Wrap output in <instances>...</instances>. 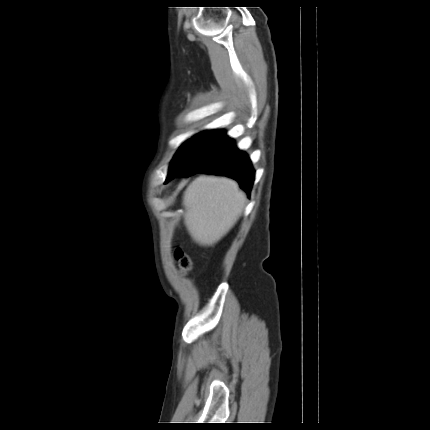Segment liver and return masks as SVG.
<instances>
[{
  "instance_id": "liver-1",
  "label": "liver",
  "mask_w": 430,
  "mask_h": 430,
  "mask_svg": "<svg viewBox=\"0 0 430 430\" xmlns=\"http://www.w3.org/2000/svg\"><path fill=\"white\" fill-rule=\"evenodd\" d=\"M245 199L234 180L199 176L184 195L188 208L185 222L191 236L202 245L217 242L237 221Z\"/></svg>"
}]
</instances>
